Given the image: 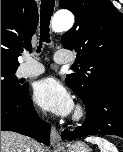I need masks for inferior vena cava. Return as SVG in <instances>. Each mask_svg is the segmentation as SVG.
<instances>
[{
    "label": "inferior vena cava",
    "instance_id": "602c4592",
    "mask_svg": "<svg viewBox=\"0 0 123 152\" xmlns=\"http://www.w3.org/2000/svg\"><path fill=\"white\" fill-rule=\"evenodd\" d=\"M27 152H34L32 148H28Z\"/></svg>",
    "mask_w": 123,
    "mask_h": 152
}]
</instances>
